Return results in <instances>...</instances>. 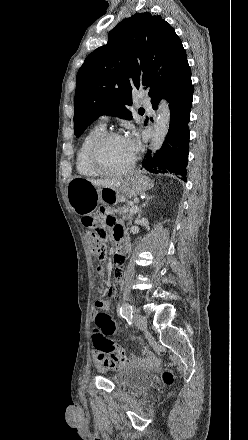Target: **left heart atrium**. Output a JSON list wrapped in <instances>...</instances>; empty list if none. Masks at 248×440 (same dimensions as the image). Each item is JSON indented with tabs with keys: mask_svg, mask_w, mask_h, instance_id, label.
I'll return each instance as SVG.
<instances>
[{
	"mask_svg": "<svg viewBox=\"0 0 248 440\" xmlns=\"http://www.w3.org/2000/svg\"><path fill=\"white\" fill-rule=\"evenodd\" d=\"M126 142L130 148V150L134 153L137 150V141L135 139V133H130L127 137H125Z\"/></svg>",
	"mask_w": 248,
	"mask_h": 440,
	"instance_id": "39dd6f15",
	"label": "left heart atrium"
}]
</instances>
